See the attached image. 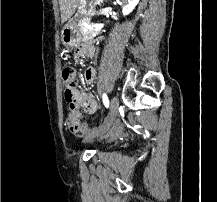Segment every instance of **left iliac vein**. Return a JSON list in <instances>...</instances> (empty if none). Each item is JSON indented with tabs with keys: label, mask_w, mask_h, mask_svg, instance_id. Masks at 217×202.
<instances>
[{
	"label": "left iliac vein",
	"mask_w": 217,
	"mask_h": 202,
	"mask_svg": "<svg viewBox=\"0 0 217 202\" xmlns=\"http://www.w3.org/2000/svg\"><path fill=\"white\" fill-rule=\"evenodd\" d=\"M118 110H119V100L117 97H113L110 101V115L106 120L105 124L95 132L86 135L85 139L93 140L102 136L114 124V120L117 117Z\"/></svg>",
	"instance_id": "4c4485c4"
}]
</instances>
